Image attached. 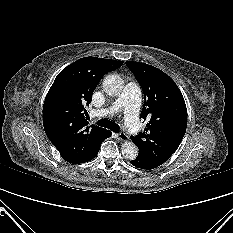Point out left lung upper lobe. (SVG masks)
Returning a JSON list of instances; mask_svg holds the SVG:
<instances>
[{
    "instance_id": "obj_1",
    "label": "left lung upper lobe",
    "mask_w": 233,
    "mask_h": 233,
    "mask_svg": "<svg viewBox=\"0 0 233 233\" xmlns=\"http://www.w3.org/2000/svg\"><path fill=\"white\" fill-rule=\"evenodd\" d=\"M142 87L145 102L141 117L147 121L144 132L131 136L138 155L158 165L167 161L180 145L187 127V109L176 83L160 69L127 61Z\"/></svg>"
}]
</instances>
